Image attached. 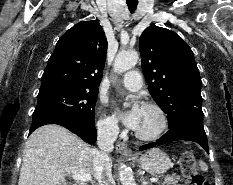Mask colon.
<instances>
[{
    "label": "colon",
    "instance_id": "5ec220e1",
    "mask_svg": "<svg viewBox=\"0 0 233 185\" xmlns=\"http://www.w3.org/2000/svg\"><path fill=\"white\" fill-rule=\"evenodd\" d=\"M179 170L189 185H206L204 177L198 172L194 155L186 151L179 162Z\"/></svg>",
    "mask_w": 233,
    "mask_h": 185
}]
</instances>
